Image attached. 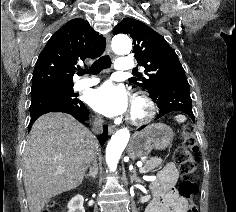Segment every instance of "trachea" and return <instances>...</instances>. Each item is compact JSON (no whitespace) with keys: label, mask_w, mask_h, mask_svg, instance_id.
<instances>
[{"label":"trachea","mask_w":236,"mask_h":212,"mask_svg":"<svg viewBox=\"0 0 236 212\" xmlns=\"http://www.w3.org/2000/svg\"><path fill=\"white\" fill-rule=\"evenodd\" d=\"M111 67V60L108 55L102 56L97 59L88 70L80 69L78 70V75H84L86 73L97 75L102 70L108 69Z\"/></svg>","instance_id":"1"}]
</instances>
